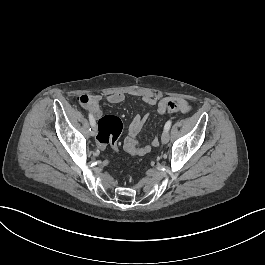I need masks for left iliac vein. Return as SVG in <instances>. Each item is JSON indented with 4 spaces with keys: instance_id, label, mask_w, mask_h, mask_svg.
<instances>
[{
    "instance_id": "4c4485c4",
    "label": "left iliac vein",
    "mask_w": 265,
    "mask_h": 265,
    "mask_svg": "<svg viewBox=\"0 0 265 265\" xmlns=\"http://www.w3.org/2000/svg\"><path fill=\"white\" fill-rule=\"evenodd\" d=\"M161 141L162 143H167L169 141V132L164 130V132L162 133V136H161Z\"/></svg>"
}]
</instances>
